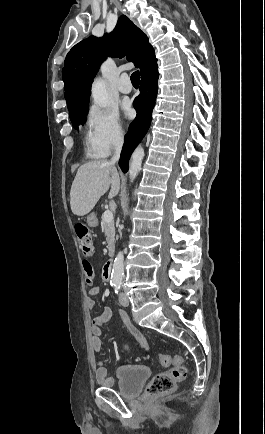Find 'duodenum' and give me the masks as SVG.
I'll return each instance as SVG.
<instances>
[{
    "mask_svg": "<svg viewBox=\"0 0 265 434\" xmlns=\"http://www.w3.org/2000/svg\"><path fill=\"white\" fill-rule=\"evenodd\" d=\"M112 268H113V261L112 260L107 261L103 267V278L106 281H109L110 279Z\"/></svg>",
    "mask_w": 265,
    "mask_h": 434,
    "instance_id": "410a0bca",
    "label": "duodenum"
}]
</instances>
